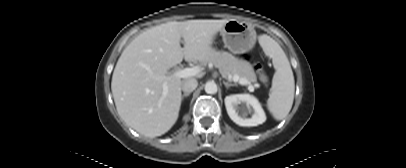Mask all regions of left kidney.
I'll list each match as a JSON object with an SVG mask.
<instances>
[{
    "mask_svg": "<svg viewBox=\"0 0 406 168\" xmlns=\"http://www.w3.org/2000/svg\"><path fill=\"white\" fill-rule=\"evenodd\" d=\"M225 107L231 120L239 126H257L266 121L259 101L249 94H233L225 97ZM248 113H252L247 118Z\"/></svg>",
    "mask_w": 406,
    "mask_h": 168,
    "instance_id": "left-kidney-1",
    "label": "left kidney"
}]
</instances>
